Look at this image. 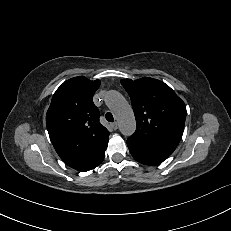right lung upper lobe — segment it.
I'll return each mask as SVG.
<instances>
[{"label":"right lung upper lobe","mask_w":231,"mask_h":231,"mask_svg":"<svg viewBox=\"0 0 231 231\" xmlns=\"http://www.w3.org/2000/svg\"><path fill=\"white\" fill-rule=\"evenodd\" d=\"M100 81L84 76L65 81L54 93L46 115L51 142L60 158L78 171L98 166L109 131L99 122L92 98Z\"/></svg>","instance_id":"right-lung-upper-lobe-1"}]
</instances>
